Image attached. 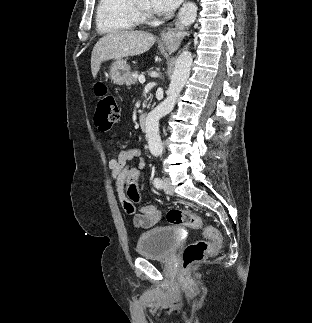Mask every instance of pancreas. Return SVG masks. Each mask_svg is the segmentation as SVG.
Returning <instances> with one entry per match:
<instances>
[{"instance_id": "obj_1", "label": "pancreas", "mask_w": 312, "mask_h": 323, "mask_svg": "<svg viewBox=\"0 0 312 323\" xmlns=\"http://www.w3.org/2000/svg\"><path fill=\"white\" fill-rule=\"evenodd\" d=\"M138 72H132L129 74V78H127L126 86H131V84H135L137 82Z\"/></svg>"}]
</instances>
